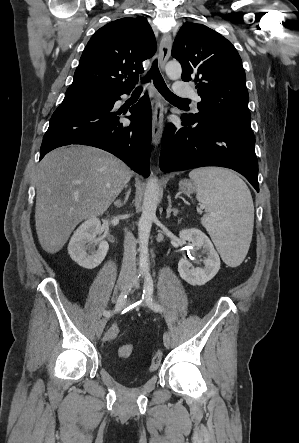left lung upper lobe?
I'll return each instance as SVG.
<instances>
[{"instance_id": "obj_1", "label": "left lung upper lobe", "mask_w": 299, "mask_h": 443, "mask_svg": "<svg viewBox=\"0 0 299 443\" xmlns=\"http://www.w3.org/2000/svg\"><path fill=\"white\" fill-rule=\"evenodd\" d=\"M172 56L182 65V80H193L202 99L191 118L250 122L246 75L230 41L203 24L186 23L175 38Z\"/></svg>"}]
</instances>
